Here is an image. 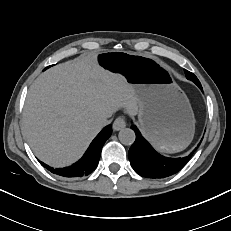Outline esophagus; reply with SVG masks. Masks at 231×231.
Listing matches in <instances>:
<instances>
[{
    "label": "esophagus",
    "mask_w": 231,
    "mask_h": 231,
    "mask_svg": "<svg viewBox=\"0 0 231 231\" xmlns=\"http://www.w3.org/2000/svg\"><path fill=\"white\" fill-rule=\"evenodd\" d=\"M126 126V120L123 116H119L115 119L113 123V130L114 131H119L123 129Z\"/></svg>",
    "instance_id": "esophagus-1"
}]
</instances>
